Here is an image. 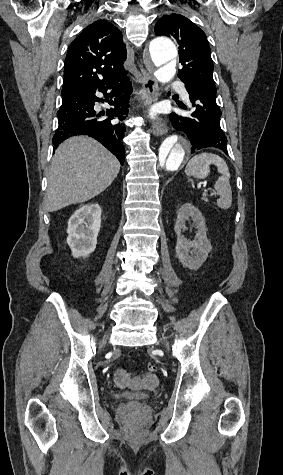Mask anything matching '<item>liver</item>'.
I'll list each match as a JSON object with an SVG mask.
<instances>
[{"label":"liver","instance_id":"liver-1","mask_svg":"<svg viewBox=\"0 0 283 475\" xmlns=\"http://www.w3.org/2000/svg\"><path fill=\"white\" fill-rule=\"evenodd\" d=\"M120 172V162L97 140L73 136L55 150L48 172L46 208L57 212L104 192Z\"/></svg>","mask_w":283,"mask_h":475}]
</instances>
